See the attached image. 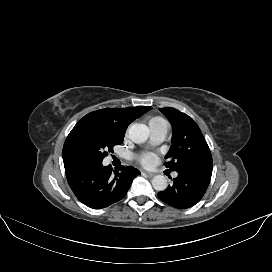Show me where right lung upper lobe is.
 <instances>
[{"label":"right lung upper lobe","instance_id":"right-lung-upper-lobe-1","mask_svg":"<svg viewBox=\"0 0 272 272\" xmlns=\"http://www.w3.org/2000/svg\"><path fill=\"white\" fill-rule=\"evenodd\" d=\"M150 106H138L129 108H106L87 114L85 117L94 119L109 125L114 130L125 135L128 125L143 113L150 110ZM64 161V166L71 163Z\"/></svg>","mask_w":272,"mask_h":272}]
</instances>
